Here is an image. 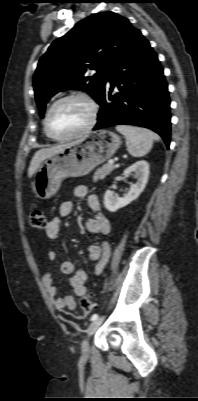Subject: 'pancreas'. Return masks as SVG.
I'll list each match as a JSON object with an SVG mask.
<instances>
[{
  "mask_svg": "<svg viewBox=\"0 0 198 401\" xmlns=\"http://www.w3.org/2000/svg\"><path fill=\"white\" fill-rule=\"evenodd\" d=\"M115 169L113 164L107 163L99 168L93 177V181L97 182L98 180L104 179L108 174H110Z\"/></svg>",
  "mask_w": 198,
  "mask_h": 401,
  "instance_id": "1",
  "label": "pancreas"
}]
</instances>
